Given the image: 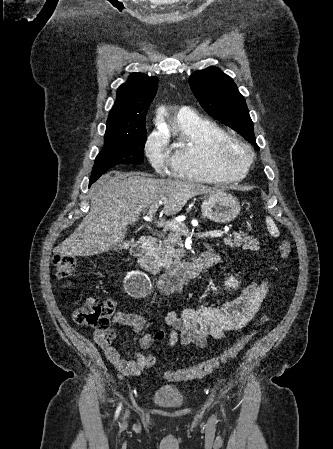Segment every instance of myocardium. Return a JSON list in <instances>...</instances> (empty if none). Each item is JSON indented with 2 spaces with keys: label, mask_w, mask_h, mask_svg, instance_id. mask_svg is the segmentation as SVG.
Listing matches in <instances>:
<instances>
[{
  "label": "myocardium",
  "mask_w": 333,
  "mask_h": 449,
  "mask_svg": "<svg viewBox=\"0 0 333 449\" xmlns=\"http://www.w3.org/2000/svg\"><path fill=\"white\" fill-rule=\"evenodd\" d=\"M213 158L218 170L226 173L247 171L255 160L252 146L243 139L227 134L213 146Z\"/></svg>",
  "instance_id": "f54148a6"
}]
</instances>
